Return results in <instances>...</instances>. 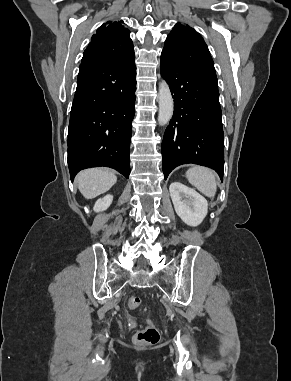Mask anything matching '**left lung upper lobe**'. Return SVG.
I'll use <instances>...</instances> for the list:
<instances>
[{"mask_svg":"<svg viewBox=\"0 0 291 381\" xmlns=\"http://www.w3.org/2000/svg\"><path fill=\"white\" fill-rule=\"evenodd\" d=\"M162 53L186 68L207 77H215L214 62L202 36L188 25L177 23L168 35Z\"/></svg>","mask_w":291,"mask_h":381,"instance_id":"left-lung-upper-lobe-1","label":"left lung upper lobe"}]
</instances>
